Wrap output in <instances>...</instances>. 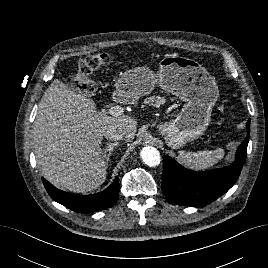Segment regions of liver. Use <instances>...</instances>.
Masks as SVG:
<instances>
[{
	"label": "liver",
	"mask_w": 268,
	"mask_h": 268,
	"mask_svg": "<svg viewBox=\"0 0 268 268\" xmlns=\"http://www.w3.org/2000/svg\"><path fill=\"white\" fill-rule=\"evenodd\" d=\"M109 127L123 129L129 141L137 121L128 115L111 117L99 112L92 99L54 80L39 103L33 126L34 153L42 175L73 192L100 187L107 175L100 145Z\"/></svg>",
	"instance_id": "1"
}]
</instances>
